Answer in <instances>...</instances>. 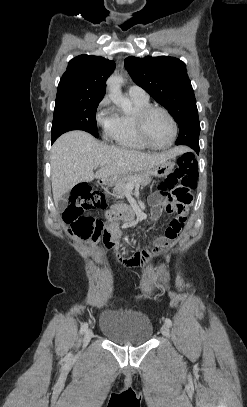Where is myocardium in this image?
Returning a JSON list of instances; mask_svg holds the SVG:
<instances>
[{"instance_id":"obj_1","label":"myocardium","mask_w":247,"mask_h":407,"mask_svg":"<svg viewBox=\"0 0 247 407\" xmlns=\"http://www.w3.org/2000/svg\"><path fill=\"white\" fill-rule=\"evenodd\" d=\"M153 111L163 112L170 119V121L172 123L173 134H172L170 142L165 146H156V145L152 144L146 135V130H145L146 120ZM135 128H136L137 135H138L139 139L141 140V142L145 146H147L148 148L153 149V150H166V149L170 148L174 144V142L177 138V135H178V123H177L175 117L172 115V113L169 110H167L166 108H164L162 106H158V105H149V106L143 108L142 110H140L136 114V117H135Z\"/></svg>"}]
</instances>
